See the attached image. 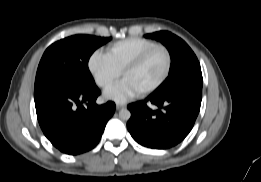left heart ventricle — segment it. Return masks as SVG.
Segmentation results:
<instances>
[{
	"instance_id": "1",
	"label": "left heart ventricle",
	"mask_w": 261,
	"mask_h": 182,
	"mask_svg": "<svg viewBox=\"0 0 261 182\" xmlns=\"http://www.w3.org/2000/svg\"><path fill=\"white\" fill-rule=\"evenodd\" d=\"M166 67V56L162 50H156L136 69L127 72L123 80L129 81L140 92L156 83Z\"/></svg>"
}]
</instances>
